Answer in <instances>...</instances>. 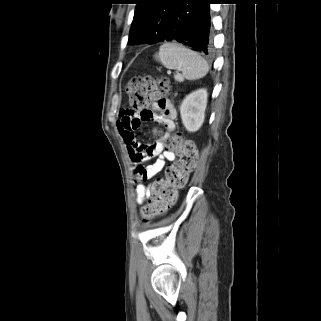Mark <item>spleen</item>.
<instances>
[{
  "mask_svg": "<svg viewBox=\"0 0 321 321\" xmlns=\"http://www.w3.org/2000/svg\"><path fill=\"white\" fill-rule=\"evenodd\" d=\"M155 57L164 67L181 71V77L187 80L200 79L209 70L204 58L178 43H164Z\"/></svg>",
  "mask_w": 321,
  "mask_h": 321,
  "instance_id": "obj_1",
  "label": "spleen"
}]
</instances>
